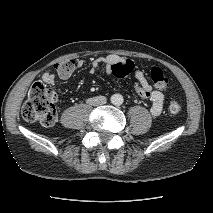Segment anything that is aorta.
I'll return each mask as SVG.
<instances>
[{"label": "aorta", "instance_id": "1", "mask_svg": "<svg viewBox=\"0 0 213 213\" xmlns=\"http://www.w3.org/2000/svg\"><path fill=\"white\" fill-rule=\"evenodd\" d=\"M124 98L121 94H114L111 96V103L116 106L123 104Z\"/></svg>", "mask_w": 213, "mask_h": 213}]
</instances>
